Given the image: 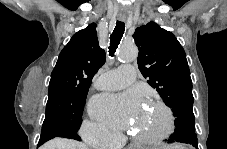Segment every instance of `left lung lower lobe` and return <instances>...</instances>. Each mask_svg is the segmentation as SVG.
I'll return each instance as SVG.
<instances>
[{
    "instance_id": "0a47b994",
    "label": "left lung lower lobe",
    "mask_w": 227,
    "mask_h": 149,
    "mask_svg": "<svg viewBox=\"0 0 227 149\" xmlns=\"http://www.w3.org/2000/svg\"><path fill=\"white\" fill-rule=\"evenodd\" d=\"M166 141L168 143H174V142L188 143L196 147V149H198L197 135L195 131H187L182 133L175 132Z\"/></svg>"
}]
</instances>
